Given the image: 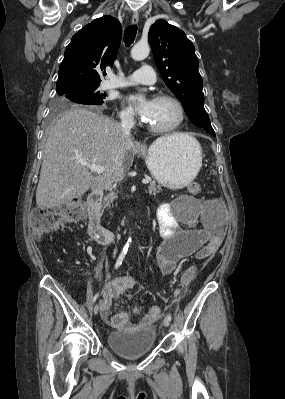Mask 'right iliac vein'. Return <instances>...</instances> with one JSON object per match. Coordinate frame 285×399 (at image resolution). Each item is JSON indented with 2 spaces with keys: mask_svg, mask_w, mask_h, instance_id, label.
Wrapping results in <instances>:
<instances>
[{
  "mask_svg": "<svg viewBox=\"0 0 285 399\" xmlns=\"http://www.w3.org/2000/svg\"><path fill=\"white\" fill-rule=\"evenodd\" d=\"M98 311H99V304L97 303V304L94 306V314H97Z\"/></svg>",
  "mask_w": 285,
  "mask_h": 399,
  "instance_id": "right-iliac-vein-1",
  "label": "right iliac vein"
}]
</instances>
